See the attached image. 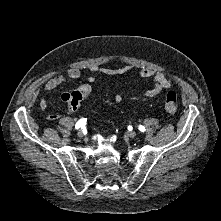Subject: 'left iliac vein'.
I'll return each mask as SVG.
<instances>
[{"label":"left iliac vein","mask_w":221,"mask_h":221,"mask_svg":"<svg viewBox=\"0 0 221 221\" xmlns=\"http://www.w3.org/2000/svg\"><path fill=\"white\" fill-rule=\"evenodd\" d=\"M127 134H128V136L131 137V138H135L136 135H137L136 132H134V131H129Z\"/></svg>","instance_id":"left-iliac-vein-1"}]
</instances>
